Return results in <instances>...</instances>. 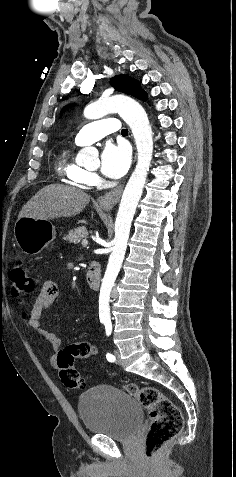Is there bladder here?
Here are the masks:
<instances>
[{"mask_svg": "<svg viewBox=\"0 0 236 477\" xmlns=\"http://www.w3.org/2000/svg\"><path fill=\"white\" fill-rule=\"evenodd\" d=\"M78 411L85 429L116 440H130L143 420L142 405L124 390L98 385L84 393Z\"/></svg>", "mask_w": 236, "mask_h": 477, "instance_id": "1", "label": "bladder"}]
</instances>
